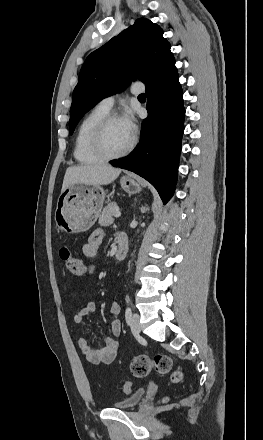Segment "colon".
Here are the masks:
<instances>
[{"label": "colon", "instance_id": "obj_1", "mask_svg": "<svg viewBox=\"0 0 263 440\" xmlns=\"http://www.w3.org/2000/svg\"><path fill=\"white\" fill-rule=\"evenodd\" d=\"M59 256L63 263L64 268L69 273L75 276H83L86 273V267L83 262L77 258L72 250L66 246H63L59 250ZM131 372L135 377H144L148 375L152 370L167 374L171 373V379L173 382H178L182 378V373L179 370H173L172 361L166 354H156L153 357L147 355H138L131 362ZM132 390V383L126 381L122 385V391L124 393H130Z\"/></svg>", "mask_w": 263, "mask_h": 440}]
</instances>
